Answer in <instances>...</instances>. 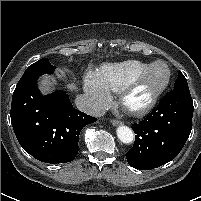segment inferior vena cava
<instances>
[{
    "label": "inferior vena cava",
    "instance_id": "602c4592",
    "mask_svg": "<svg viewBox=\"0 0 201 201\" xmlns=\"http://www.w3.org/2000/svg\"><path fill=\"white\" fill-rule=\"evenodd\" d=\"M77 108L89 115L94 117H101L105 114V108L101 106L97 101L86 95H79L75 99Z\"/></svg>",
    "mask_w": 201,
    "mask_h": 201
}]
</instances>
